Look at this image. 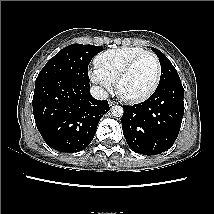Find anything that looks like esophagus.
<instances>
[{
    "label": "esophagus",
    "mask_w": 214,
    "mask_h": 214,
    "mask_svg": "<svg viewBox=\"0 0 214 214\" xmlns=\"http://www.w3.org/2000/svg\"><path fill=\"white\" fill-rule=\"evenodd\" d=\"M115 104H116L115 101L109 100V105H110V106H113V105H115Z\"/></svg>",
    "instance_id": "1"
}]
</instances>
